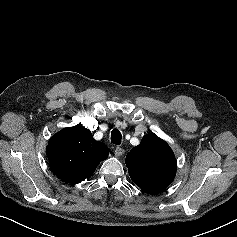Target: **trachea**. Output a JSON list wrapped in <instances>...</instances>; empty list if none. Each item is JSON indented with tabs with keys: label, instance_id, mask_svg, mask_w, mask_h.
Wrapping results in <instances>:
<instances>
[{
	"label": "trachea",
	"instance_id": "obj_1",
	"mask_svg": "<svg viewBox=\"0 0 237 237\" xmlns=\"http://www.w3.org/2000/svg\"><path fill=\"white\" fill-rule=\"evenodd\" d=\"M122 140L121 132L118 129H114L111 132V142L116 145H120Z\"/></svg>",
	"mask_w": 237,
	"mask_h": 237
}]
</instances>
